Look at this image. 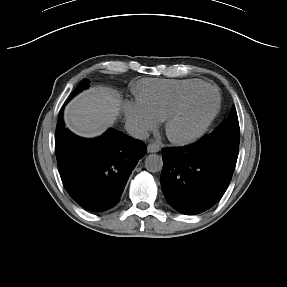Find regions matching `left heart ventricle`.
I'll use <instances>...</instances> for the list:
<instances>
[{"instance_id": "b2bd125f", "label": "left heart ventricle", "mask_w": 287, "mask_h": 287, "mask_svg": "<svg viewBox=\"0 0 287 287\" xmlns=\"http://www.w3.org/2000/svg\"><path fill=\"white\" fill-rule=\"evenodd\" d=\"M215 103L214 94L204 90L194 95L173 126V132L184 136L195 131L208 117Z\"/></svg>"}]
</instances>
